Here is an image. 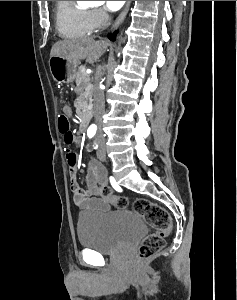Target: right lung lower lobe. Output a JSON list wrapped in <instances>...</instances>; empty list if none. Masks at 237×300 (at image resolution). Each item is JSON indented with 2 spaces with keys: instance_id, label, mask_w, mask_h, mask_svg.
I'll use <instances>...</instances> for the list:
<instances>
[{
  "instance_id": "1",
  "label": "right lung lower lobe",
  "mask_w": 237,
  "mask_h": 300,
  "mask_svg": "<svg viewBox=\"0 0 237 300\" xmlns=\"http://www.w3.org/2000/svg\"><path fill=\"white\" fill-rule=\"evenodd\" d=\"M116 33H117V32H115L114 34H110V35H109L110 40H112V41L115 40V38H116Z\"/></svg>"
}]
</instances>
